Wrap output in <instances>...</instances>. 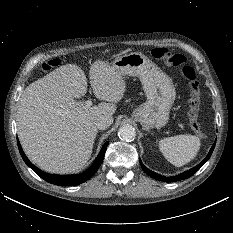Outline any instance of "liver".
<instances>
[{
    "label": "liver",
    "instance_id": "liver-1",
    "mask_svg": "<svg viewBox=\"0 0 233 233\" xmlns=\"http://www.w3.org/2000/svg\"><path fill=\"white\" fill-rule=\"evenodd\" d=\"M109 52L105 50L103 53ZM94 95L105 102L85 107L79 99L87 91L84 71L63 65L27 86L17 111V129L28 158L49 173L79 171L90 159L98 128L95 121L116 111L126 90L120 72L102 60L89 71Z\"/></svg>",
    "mask_w": 233,
    "mask_h": 233
}]
</instances>
